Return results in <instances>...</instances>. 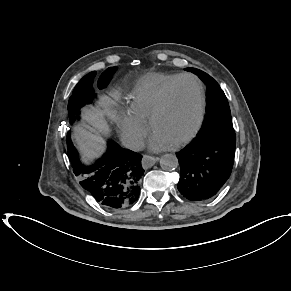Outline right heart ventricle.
<instances>
[{
    "label": "right heart ventricle",
    "mask_w": 291,
    "mask_h": 291,
    "mask_svg": "<svg viewBox=\"0 0 291 291\" xmlns=\"http://www.w3.org/2000/svg\"><path fill=\"white\" fill-rule=\"evenodd\" d=\"M180 75L150 74L141 78L130 95V112L142 121H148L158 106L167 87Z\"/></svg>",
    "instance_id": "right-heart-ventricle-1"
}]
</instances>
